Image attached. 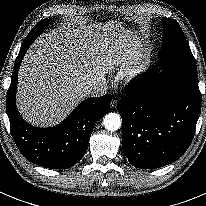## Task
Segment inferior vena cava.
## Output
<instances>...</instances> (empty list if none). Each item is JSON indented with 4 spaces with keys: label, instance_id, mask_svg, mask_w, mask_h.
<instances>
[{
    "label": "inferior vena cava",
    "instance_id": "602c4592",
    "mask_svg": "<svg viewBox=\"0 0 206 206\" xmlns=\"http://www.w3.org/2000/svg\"><path fill=\"white\" fill-rule=\"evenodd\" d=\"M108 85L105 80H101L91 85L86 93L88 96L100 97L107 93Z\"/></svg>",
    "mask_w": 206,
    "mask_h": 206
}]
</instances>
